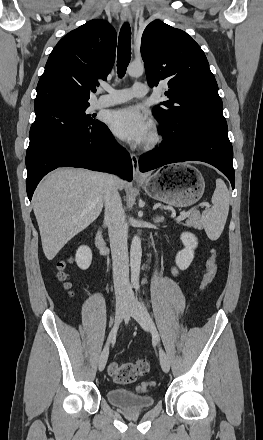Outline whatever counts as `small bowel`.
<instances>
[{
    "instance_id": "c3829d8e",
    "label": "small bowel",
    "mask_w": 263,
    "mask_h": 440,
    "mask_svg": "<svg viewBox=\"0 0 263 440\" xmlns=\"http://www.w3.org/2000/svg\"><path fill=\"white\" fill-rule=\"evenodd\" d=\"M173 273L177 274L178 273V269L177 268H173Z\"/></svg>"
}]
</instances>
